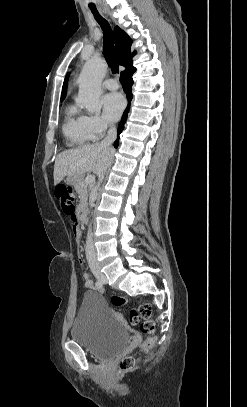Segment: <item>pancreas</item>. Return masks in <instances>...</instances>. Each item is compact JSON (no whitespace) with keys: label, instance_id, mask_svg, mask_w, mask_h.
Returning a JSON list of instances; mask_svg holds the SVG:
<instances>
[{"label":"pancreas","instance_id":"pancreas-1","mask_svg":"<svg viewBox=\"0 0 247 407\" xmlns=\"http://www.w3.org/2000/svg\"><path fill=\"white\" fill-rule=\"evenodd\" d=\"M74 187L80 199V207L86 206L88 200V193L91 190L92 185L90 183H87L84 179H82L81 181L76 183Z\"/></svg>","mask_w":247,"mask_h":407}]
</instances>
